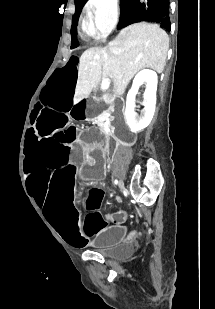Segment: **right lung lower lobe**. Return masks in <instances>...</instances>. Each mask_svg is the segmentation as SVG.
<instances>
[{
    "label": "right lung lower lobe",
    "instance_id": "obj_1",
    "mask_svg": "<svg viewBox=\"0 0 215 309\" xmlns=\"http://www.w3.org/2000/svg\"><path fill=\"white\" fill-rule=\"evenodd\" d=\"M140 21L157 23L170 31L169 0H133L121 11L117 28Z\"/></svg>",
    "mask_w": 215,
    "mask_h": 309
}]
</instances>
